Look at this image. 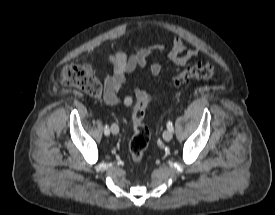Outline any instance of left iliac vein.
<instances>
[{
    "label": "left iliac vein",
    "mask_w": 275,
    "mask_h": 215,
    "mask_svg": "<svg viewBox=\"0 0 275 215\" xmlns=\"http://www.w3.org/2000/svg\"><path fill=\"white\" fill-rule=\"evenodd\" d=\"M172 131L171 130H166V131H164V133H163V139L165 140V141H170L171 139H172Z\"/></svg>",
    "instance_id": "obj_1"
}]
</instances>
